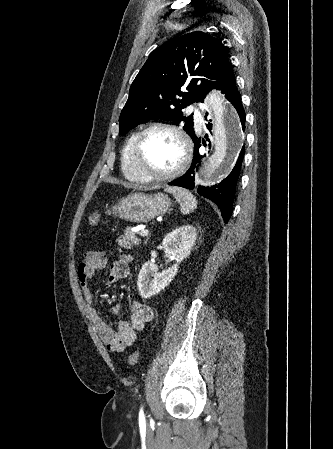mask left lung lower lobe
I'll return each mask as SVG.
<instances>
[{
  "label": "left lung lower lobe",
  "mask_w": 333,
  "mask_h": 449,
  "mask_svg": "<svg viewBox=\"0 0 333 449\" xmlns=\"http://www.w3.org/2000/svg\"><path fill=\"white\" fill-rule=\"evenodd\" d=\"M223 94H225V97L234 105L236 108L243 130L245 129V112L241 103V97L240 94L236 88L235 83V76L232 73L221 85V88L219 89ZM207 118V117H205ZM208 130L212 129V124H207ZM207 138V135L205 136ZM194 146H195V152L194 157L192 160L191 167L189 170L182 175L181 177L177 178L176 180L169 183V185H176L185 187L187 189L192 190L195 186L194 183V171L198 169V165L203 157L201 153L199 152V148L201 146V139L197 138L196 135L191 137ZM203 144L204 141L202 140ZM245 151L244 148L241 150L240 155L238 157V160L236 162V165L234 166L233 171L230 173V175L224 179L221 183L218 185H214L211 188L205 187V186H199L197 189V192L202 195L205 198L210 199L214 203L218 205V207L221 210L224 222L227 223L228 220L231 217L232 214V204L234 200L235 190H236V184L238 180V176L240 173L242 161H243V155Z\"/></svg>",
  "instance_id": "left-lung-lower-lobe-1"
}]
</instances>
